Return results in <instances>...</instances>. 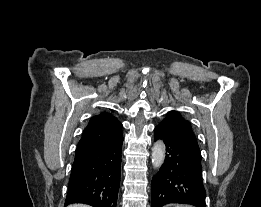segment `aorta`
<instances>
[{
  "label": "aorta",
  "mask_w": 261,
  "mask_h": 207,
  "mask_svg": "<svg viewBox=\"0 0 261 207\" xmlns=\"http://www.w3.org/2000/svg\"><path fill=\"white\" fill-rule=\"evenodd\" d=\"M165 159V145L163 141L158 140L152 149V165L155 169L161 167Z\"/></svg>",
  "instance_id": "762f6f07"
}]
</instances>
